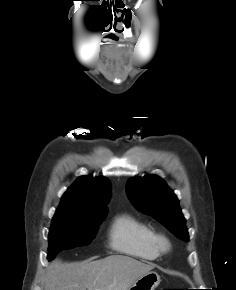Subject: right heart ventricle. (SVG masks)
<instances>
[{
    "label": "right heart ventricle",
    "mask_w": 236,
    "mask_h": 290,
    "mask_svg": "<svg viewBox=\"0 0 236 290\" xmlns=\"http://www.w3.org/2000/svg\"><path fill=\"white\" fill-rule=\"evenodd\" d=\"M155 236V232L147 223L132 214L121 213L110 225L108 242L116 252L152 261L160 255Z\"/></svg>",
    "instance_id": "1"
}]
</instances>
